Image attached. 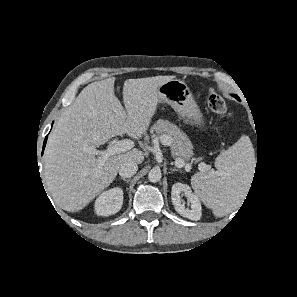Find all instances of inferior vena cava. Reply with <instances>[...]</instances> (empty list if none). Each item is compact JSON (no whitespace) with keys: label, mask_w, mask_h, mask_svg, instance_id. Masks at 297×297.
<instances>
[{"label":"inferior vena cava","mask_w":297,"mask_h":297,"mask_svg":"<svg viewBox=\"0 0 297 297\" xmlns=\"http://www.w3.org/2000/svg\"><path fill=\"white\" fill-rule=\"evenodd\" d=\"M138 170L137 163L132 160L125 161L119 168V175L123 178L132 177Z\"/></svg>","instance_id":"602c4592"}]
</instances>
